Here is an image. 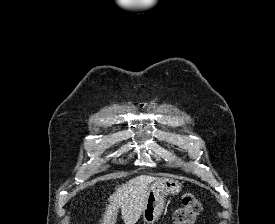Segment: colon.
Wrapping results in <instances>:
<instances>
[{"instance_id":"colon-1","label":"colon","mask_w":275,"mask_h":224,"mask_svg":"<svg viewBox=\"0 0 275 224\" xmlns=\"http://www.w3.org/2000/svg\"><path fill=\"white\" fill-rule=\"evenodd\" d=\"M202 211V203L192 194L182 196V206L173 215L174 224H192L195 217Z\"/></svg>"}]
</instances>
